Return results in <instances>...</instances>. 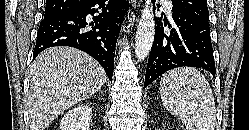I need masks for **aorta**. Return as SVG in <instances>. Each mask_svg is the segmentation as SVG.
Here are the masks:
<instances>
[{"label":"aorta","instance_id":"aorta-1","mask_svg":"<svg viewBox=\"0 0 249 130\" xmlns=\"http://www.w3.org/2000/svg\"><path fill=\"white\" fill-rule=\"evenodd\" d=\"M155 34V20L151 1H145L142 15L137 26L135 36V56L138 61H143L149 55Z\"/></svg>","mask_w":249,"mask_h":130}]
</instances>
